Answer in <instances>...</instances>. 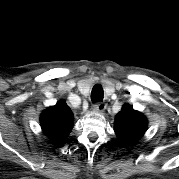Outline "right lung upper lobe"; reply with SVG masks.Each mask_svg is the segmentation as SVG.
Segmentation results:
<instances>
[{
	"label": "right lung upper lobe",
	"instance_id": "obj_1",
	"mask_svg": "<svg viewBox=\"0 0 179 179\" xmlns=\"http://www.w3.org/2000/svg\"><path fill=\"white\" fill-rule=\"evenodd\" d=\"M40 123L44 134L55 144L63 143L72 130L73 113L64 100L47 108L40 116Z\"/></svg>",
	"mask_w": 179,
	"mask_h": 179
}]
</instances>
